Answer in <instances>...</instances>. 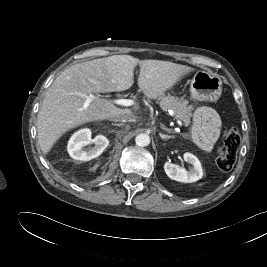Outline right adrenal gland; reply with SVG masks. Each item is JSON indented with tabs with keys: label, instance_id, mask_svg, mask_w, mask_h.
<instances>
[{
	"label": "right adrenal gland",
	"instance_id": "2a0ac1e0",
	"mask_svg": "<svg viewBox=\"0 0 267 267\" xmlns=\"http://www.w3.org/2000/svg\"><path fill=\"white\" fill-rule=\"evenodd\" d=\"M112 125H114V126H122V124H112Z\"/></svg>",
	"mask_w": 267,
	"mask_h": 267
}]
</instances>
